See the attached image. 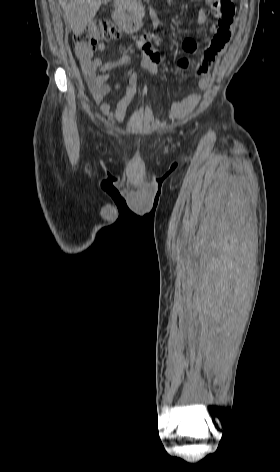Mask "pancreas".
I'll return each mask as SVG.
<instances>
[{
  "label": "pancreas",
  "mask_w": 280,
  "mask_h": 472,
  "mask_svg": "<svg viewBox=\"0 0 280 472\" xmlns=\"http://www.w3.org/2000/svg\"><path fill=\"white\" fill-rule=\"evenodd\" d=\"M118 1H120V2H130L132 0H118Z\"/></svg>",
  "instance_id": "cf45deb5"
}]
</instances>
